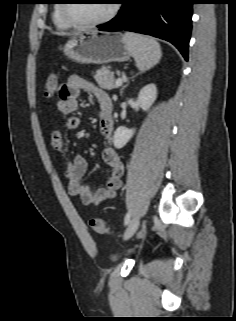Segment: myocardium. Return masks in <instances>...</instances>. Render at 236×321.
<instances>
[{
  "label": "myocardium",
  "instance_id": "f54148a6",
  "mask_svg": "<svg viewBox=\"0 0 236 321\" xmlns=\"http://www.w3.org/2000/svg\"><path fill=\"white\" fill-rule=\"evenodd\" d=\"M69 4L70 3L66 2V1H64V3L61 4V15L67 23H69L71 26L78 27V28L96 27V26L106 24L117 15L119 8H120L118 0H115L112 3V7H111L109 13L105 17H103L99 20H95V21L82 22V21L75 20L74 18H72L69 15V13H68Z\"/></svg>",
  "mask_w": 236,
  "mask_h": 321
}]
</instances>
